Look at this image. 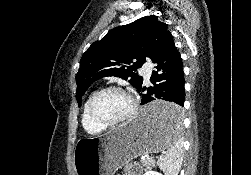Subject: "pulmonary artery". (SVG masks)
Instances as JSON below:
<instances>
[{
    "mask_svg": "<svg viewBox=\"0 0 251 175\" xmlns=\"http://www.w3.org/2000/svg\"><path fill=\"white\" fill-rule=\"evenodd\" d=\"M154 69H155L154 65H150V62H145V65H142L141 79H149L152 73L151 70Z\"/></svg>",
    "mask_w": 251,
    "mask_h": 175,
    "instance_id": "obj_1",
    "label": "pulmonary artery"
}]
</instances>
